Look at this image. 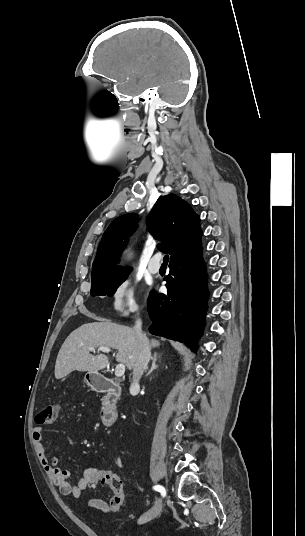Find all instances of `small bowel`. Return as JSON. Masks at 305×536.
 I'll return each instance as SVG.
<instances>
[{"label": "small bowel", "mask_w": 305, "mask_h": 536, "mask_svg": "<svg viewBox=\"0 0 305 536\" xmlns=\"http://www.w3.org/2000/svg\"><path fill=\"white\" fill-rule=\"evenodd\" d=\"M32 438L40 464L52 482L58 487L61 495L78 498L82 492L86 491L90 487H93V466L86 467L83 470L78 482L76 484H71L69 482L71 472L68 469L60 467L59 459L55 456H49L46 451V448L43 444V427H34L32 431ZM87 506L89 508L100 510L104 513L113 512L112 508L110 507V503L101 498L89 499Z\"/></svg>", "instance_id": "small-bowel-1"}]
</instances>
